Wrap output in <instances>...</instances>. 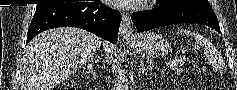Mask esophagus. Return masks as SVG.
<instances>
[{"label":"esophagus","mask_w":237,"mask_h":90,"mask_svg":"<svg viewBox=\"0 0 237 90\" xmlns=\"http://www.w3.org/2000/svg\"><path fill=\"white\" fill-rule=\"evenodd\" d=\"M120 36L123 42H131L134 40L135 35L132 28L131 18L128 13H123L122 23L120 26Z\"/></svg>","instance_id":"34e87169"}]
</instances>
